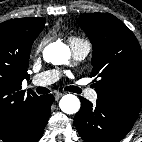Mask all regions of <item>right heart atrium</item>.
Returning <instances> with one entry per match:
<instances>
[{"instance_id":"obj_1","label":"right heart atrium","mask_w":142,"mask_h":142,"mask_svg":"<svg viewBox=\"0 0 142 142\" xmlns=\"http://www.w3.org/2000/svg\"><path fill=\"white\" fill-rule=\"evenodd\" d=\"M44 44H45V39H43V40L37 45L36 50H37V51H40V50L43 48Z\"/></svg>"}]
</instances>
